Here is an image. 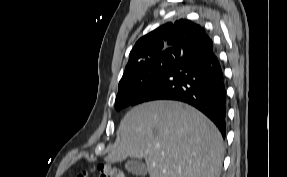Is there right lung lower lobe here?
Listing matches in <instances>:
<instances>
[{
	"mask_svg": "<svg viewBox=\"0 0 287 177\" xmlns=\"http://www.w3.org/2000/svg\"><path fill=\"white\" fill-rule=\"evenodd\" d=\"M152 100L188 103L210 118L226 135V88L213 42L202 31L183 51L179 62L146 88L132 106Z\"/></svg>",
	"mask_w": 287,
	"mask_h": 177,
	"instance_id": "98d812e1",
	"label": "right lung lower lobe"
}]
</instances>
